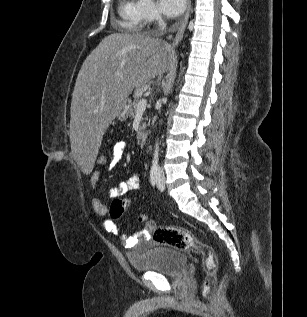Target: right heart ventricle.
Instances as JSON below:
<instances>
[{
	"label": "right heart ventricle",
	"mask_w": 307,
	"mask_h": 317,
	"mask_svg": "<svg viewBox=\"0 0 307 317\" xmlns=\"http://www.w3.org/2000/svg\"><path fill=\"white\" fill-rule=\"evenodd\" d=\"M119 15L122 19V26L125 29L138 31L142 27L137 0H120Z\"/></svg>",
	"instance_id": "e07e8e85"
}]
</instances>
